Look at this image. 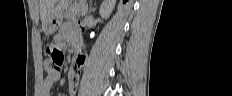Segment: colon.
Listing matches in <instances>:
<instances>
[{"label": "colon", "mask_w": 232, "mask_h": 96, "mask_svg": "<svg viewBox=\"0 0 232 96\" xmlns=\"http://www.w3.org/2000/svg\"><path fill=\"white\" fill-rule=\"evenodd\" d=\"M48 49L50 55L48 72L56 73L64 64V53L62 47L55 44L50 45Z\"/></svg>", "instance_id": "obj_1"}]
</instances>
